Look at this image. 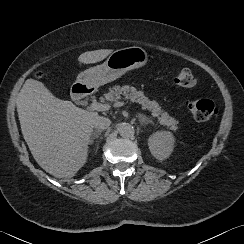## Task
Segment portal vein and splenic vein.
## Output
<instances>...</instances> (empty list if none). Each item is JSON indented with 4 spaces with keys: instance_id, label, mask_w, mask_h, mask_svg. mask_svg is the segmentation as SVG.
Returning <instances> with one entry per match:
<instances>
[{
    "instance_id": "18ae733b",
    "label": "portal vein and splenic vein",
    "mask_w": 244,
    "mask_h": 244,
    "mask_svg": "<svg viewBox=\"0 0 244 244\" xmlns=\"http://www.w3.org/2000/svg\"><path fill=\"white\" fill-rule=\"evenodd\" d=\"M126 104H127L126 102H116V103H114V106L115 107H122V106H124ZM89 108L92 109V110H97V111H105V110H107L109 108V105L108 104L98 103V102H92L89 105Z\"/></svg>"
}]
</instances>
